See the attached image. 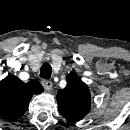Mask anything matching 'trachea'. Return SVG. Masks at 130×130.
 <instances>
[{
	"mask_svg": "<svg viewBox=\"0 0 130 130\" xmlns=\"http://www.w3.org/2000/svg\"><path fill=\"white\" fill-rule=\"evenodd\" d=\"M52 67L49 63H44L40 69V77L49 79L51 77Z\"/></svg>",
	"mask_w": 130,
	"mask_h": 130,
	"instance_id": "obj_1",
	"label": "trachea"
}]
</instances>
